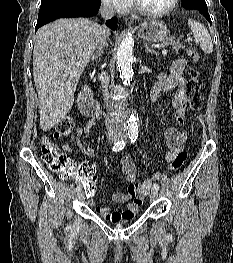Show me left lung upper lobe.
<instances>
[{"mask_svg":"<svg viewBox=\"0 0 233 263\" xmlns=\"http://www.w3.org/2000/svg\"><path fill=\"white\" fill-rule=\"evenodd\" d=\"M182 5L184 8L192 10H202L207 8L205 0H182Z\"/></svg>","mask_w":233,"mask_h":263,"instance_id":"left-lung-upper-lobe-1","label":"left lung upper lobe"}]
</instances>
